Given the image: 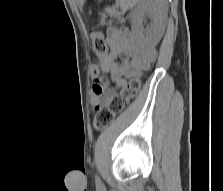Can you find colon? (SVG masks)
Returning <instances> with one entry per match:
<instances>
[{
  "label": "colon",
  "instance_id": "obj_1",
  "mask_svg": "<svg viewBox=\"0 0 223 191\" xmlns=\"http://www.w3.org/2000/svg\"><path fill=\"white\" fill-rule=\"evenodd\" d=\"M109 19H104L102 24L104 25ZM122 22L121 20H119ZM94 51L98 57L99 61L105 60V55L107 54V42L103 31L98 30L92 35ZM90 66L92 68L91 78H100L103 69V63L91 62ZM140 88V81L138 79H133L126 87H124L121 92L112 97L109 103L97 110L94 117V125L97 129H104L107 127L115 117L120 114L129 101L136 95Z\"/></svg>",
  "mask_w": 223,
  "mask_h": 191
}]
</instances>
